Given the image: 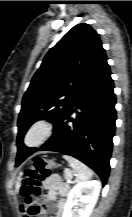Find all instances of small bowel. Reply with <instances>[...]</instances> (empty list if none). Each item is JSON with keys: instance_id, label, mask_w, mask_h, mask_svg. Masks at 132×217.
<instances>
[{"instance_id": "1", "label": "small bowel", "mask_w": 132, "mask_h": 217, "mask_svg": "<svg viewBox=\"0 0 132 217\" xmlns=\"http://www.w3.org/2000/svg\"><path fill=\"white\" fill-rule=\"evenodd\" d=\"M44 187L47 193L41 199L29 198L22 205L21 212L24 217H29L28 211L32 206L40 207L37 217H46L47 213H53L51 217H61L65 205L62 197L68 195L69 185L59 175L53 174L45 179Z\"/></svg>"}]
</instances>
